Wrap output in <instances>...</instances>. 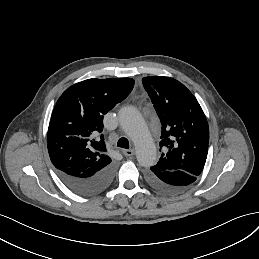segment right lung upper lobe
Here are the masks:
<instances>
[{
  "instance_id": "obj_1",
  "label": "right lung upper lobe",
  "mask_w": 259,
  "mask_h": 259,
  "mask_svg": "<svg viewBox=\"0 0 259 259\" xmlns=\"http://www.w3.org/2000/svg\"><path fill=\"white\" fill-rule=\"evenodd\" d=\"M133 86L132 78L88 79L60 96L47 135L49 156L57 170L89 177L111 163L101 134L103 117Z\"/></svg>"
}]
</instances>
